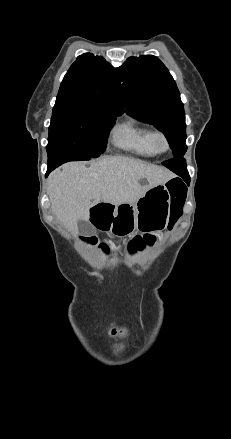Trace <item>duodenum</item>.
I'll list each match as a JSON object with an SVG mask.
<instances>
[{
    "label": "duodenum",
    "instance_id": "410a0bca",
    "mask_svg": "<svg viewBox=\"0 0 231 439\" xmlns=\"http://www.w3.org/2000/svg\"><path fill=\"white\" fill-rule=\"evenodd\" d=\"M109 208L110 205L108 203H102V204H98L95 207V219H97V221H101L106 215H108L109 212ZM97 225V222L95 223Z\"/></svg>",
    "mask_w": 231,
    "mask_h": 439
}]
</instances>
